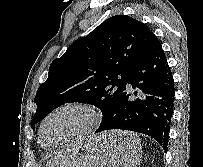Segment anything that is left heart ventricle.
<instances>
[{
  "instance_id": "left-heart-ventricle-1",
  "label": "left heart ventricle",
  "mask_w": 203,
  "mask_h": 167,
  "mask_svg": "<svg viewBox=\"0 0 203 167\" xmlns=\"http://www.w3.org/2000/svg\"><path fill=\"white\" fill-rule=\"evenodd\" d=\"M86 123V116L76 110H66L54 116L44 128V142L52 145L58 143L78 130Z\"/></svg>"
}]
</instances>
